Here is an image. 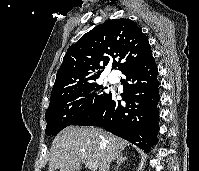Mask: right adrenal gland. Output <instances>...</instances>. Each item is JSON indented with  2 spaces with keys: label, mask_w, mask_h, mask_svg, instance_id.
I'll use <instances>...</instances> for the list:
<instances>
[{
  "label": "right adrenal gland",
  "mask_w": 199,
  "mask_h": 171,
  "mask_svg": "<svg viewBox=\"0 0 199 171\" xmlns=\"http://www.w3.org/2000/svg\"><path fill=\"white\" fill-rule=\"evenodd\" d=\"M127 160V157H124L122 154H120L117 159H116V163H117V166L115 168V171H118L120 165Z\"/></svg>",
  "instance_id": "right-adrenal-gland-1"
}]
</instances>
